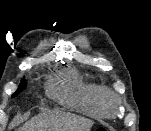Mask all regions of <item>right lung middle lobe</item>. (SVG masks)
Segmentation results:
<instances>
[{
	"label": "right lung middle lobe",
	"mask_w": 151,
	"mask_h": 131,
	"mask_svg": "<svg viewBox=\"0 0 151 131\" xmlns=\"http://www.w3.org/2000/svg\"><path fill=\"white\" fill-rule=\"evenodd\" d=\"M26 85H27V81H26L25 79H22L19 88H18L17 91L12 95V97L17 96L20 92H22L23 89H25Z\"/></svg>",
	"instance_id": "right-lung-middle-lobe-1"
}]
</instances>
